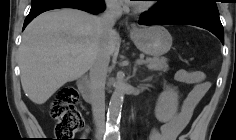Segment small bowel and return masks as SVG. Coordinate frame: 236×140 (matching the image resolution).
Masks as SVG:
<instances>
[{"label": "small bowel", "mask_w": 236, "mask_h": 140, "mask_svg": "<svg viewBox=\"0 0 236 140\" xmlns=\"http://www.w3.org/2000/svg\"><path fill=\"white\" fill-rule=\"evenodd\" d=\"M175 78L181 83L192 85L193 88L184 99L179 112L160 129L152 130L150 140H177L189 123L196 106L210 88L204 72L199 70L181 69L177 71Z\"/></svg>", "instance_id": "1"}]
</instances>
